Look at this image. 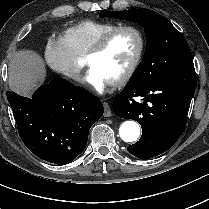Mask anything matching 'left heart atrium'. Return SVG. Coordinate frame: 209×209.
Here are the masks:
<instances>
[{"mask_svg":"<svg viewBox=\"0 0 209 209\" xmlns=\"http://www.w3.org/2000/svg\"><path fill=\"white\" fill-rule=\"evenodd\" d=\"M83 80L97 92L104 91L106 86L112 83L99 69L94 66H89Z\"/></svg>","mask_w":209,"mask_h":209,"instance_id":"1","label":"left heart atrium"}]
</instances>
